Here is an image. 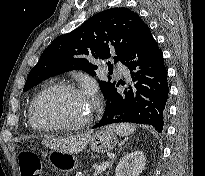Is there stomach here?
Masks as SVG:
<instances>
[{
	"instance_id": "obj_1",
	"label": "stomach",
	"mask_w": 205,
	"mask_h": 176,
	"mask_svg": "<svg viewBox=\"0 0 205 176\" xmlns=\"http://www.w3.org/2000/svg\"><path fill=\"white\" fill-rule=\"evenodd\" d=\"M117 138L108 128L96 131L90 137V148L93 152L104 153L113 149L116 145ZM48 161L50 165L63 172H72L78 168V159L73 153L59 150L50 152Z\"/></svg>"
}]
</instances>
